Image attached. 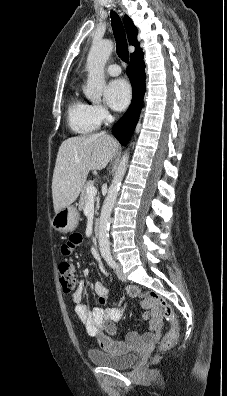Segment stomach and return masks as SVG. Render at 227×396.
I'll return each instance as SVG.
<instances>
[{
  "label": "stomach",
  "instance_id": "1",
  "mask_svg": "<svg viewBox=\"0 0 227 396\" xmlns=\"http://www.w3.org/2000/svg\"><path fill=\"white\" fill-rule=\"evenodd\" d=\"M78 219L77 209L74 206H67L55 214L52 226L60 233H68L77 227Z\"/></svg>",
  "mask_w": 227,
  "mask_h": 396
}]
</instances>
